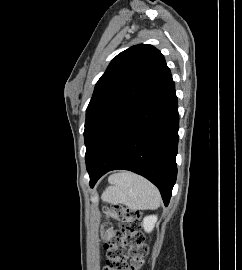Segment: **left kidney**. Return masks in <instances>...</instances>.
Instances as JSON below:
<instances>
[{"instance_id": "left-kidney-1", "label": "left kidney", "mask_w": 242, "mask_h": 270, "mask_svg": "<svg viewBox=\"0 0 242 270\" xmlns=\"http://www.w3.org/2000/svg\"><path fill=\"white\" fill-rule=\"evenodd\" d=\"M156 222H157V216H155V215L146 216L143 219L142 226H143L144 230L149 233L153 230Z\"/></svg>"}]
</instances>
